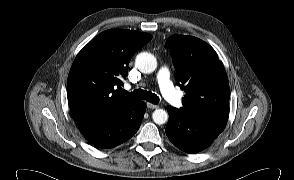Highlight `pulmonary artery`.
<instances>
[{"label": "pulmonary artery", "mask_w": 294, "mask_h": 180, "mask_svg": "<svg viewBox=\"0 0 294 180\" xmlns=\"http://www.w3.org/2000/svg\"><path fill=\"white\" fill-rule=\"evenodd\" d=\"M169 69L162 66L157 74V80L163 96L174 106L180 108L182 106L181 97L175 92L173 85L169 79Z\"/></svg>", "instance_id": "pulmonary-artery-1"}]
</instances>
